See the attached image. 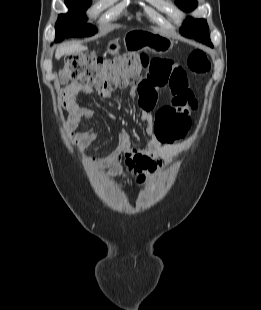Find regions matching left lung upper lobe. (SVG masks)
<instances>
[{"label":"left lung upper lobe","mask_w":261,"mask_h":310,"mask_svg":"<svg viewBox=\"0 0 261 310\" xmlns=\"http://www.w3.org/2000/svg\"><path fill=\"white\" fill-rule=\"evenodd\" d=\"M175 3L180 9L184 11H191L197 5L196 0H176ZM207 28L208 26L206 20L193 19L189 17L184 21L180 32L183 36L193 38L194 35L204 32Z\"/></svg>","instance_id":"obj_1"}]
</instances>
